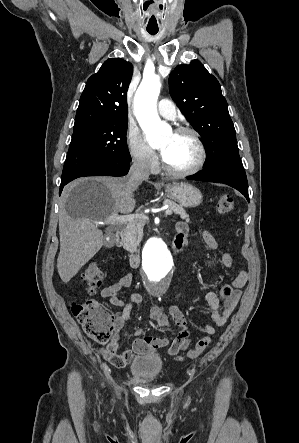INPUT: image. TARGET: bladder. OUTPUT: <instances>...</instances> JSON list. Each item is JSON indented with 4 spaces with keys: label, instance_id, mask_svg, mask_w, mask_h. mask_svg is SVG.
<instances>
[{
    "label": "bladder",
    "instance_id": "31cf9c89",
    "mask_svg": "<svg viewBox=\"0 0 299 443\" xmlns=\"http://www.w3.org/2000/svg\"><path fill=\"white\" fill-rule=\"evenodd\" d=\"M163 369V361L159 354L148 353L134 358L129 364L132 377L141 383L153 382Z\"/></svg>",
    "mask_w": 299,
    "mask_h": 443
}]
</instances>
